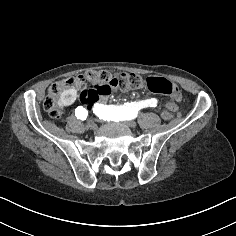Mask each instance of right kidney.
Listing matches in <instances>:
<instances>
[{
	"label": "right kidney",
	"mask_w": 236,
	"mask_h": 236,
	"mask_svg": "<svg viewBox=\"0 0 236 236\" xmlns=\"http://www.w3.org/2000/svg\"><path fill=\"white\" fill-rule=\"evenodd\" d=\"M77 96L78 91L76 88L66 89L54 100V107L57 110H64L67 106H71L76 101Z\"/></svg>",
	"instance_id": "obj_1"
}]
</instances>
